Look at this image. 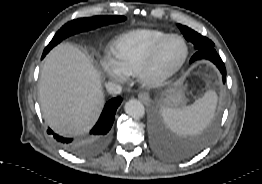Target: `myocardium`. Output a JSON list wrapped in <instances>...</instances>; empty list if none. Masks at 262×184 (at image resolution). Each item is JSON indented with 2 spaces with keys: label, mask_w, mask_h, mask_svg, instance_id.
I'll return each instance as SVG.
<instances>
[{
  "label": "myocardium",
  "mask_w": 262,
  "mask_h": 184,
  "mask_svg": "<svg viewBox=\"0 0 262 184\" xmlns=\"http://www.w3.org/2000/svg\"><path fill=\"white\" fill-rule=\"evenodd\" d=\"M173 39H178L183 43L184 53L181 59L173 66L165 69L158 70L157 63L158 59L166 47V45ZM189 48L186 40L177 34H170L159 42L153 50L149 53L147 58L140 65L136 71V76L141 83L147 86H159L171 79L184 65L188 58Z\"/></svg>",
  "instance_id": "1"
}]
</instances>
